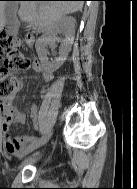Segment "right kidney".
<instances>
[{
  "mask_svg": "<svg viewBox=\"0 0 137 189\" xmlns=\"http://www.w3.org/2000/svg\"><path fill=\"white\" fill-rule=\"evenodd\" d=\"M58 33L65 34V39L61 43L60 56L55 60L49 61L48 59V45L54 47L56 41V35ZM74 19L71 17H63L59 19L48 31H46L36 41V51L41 61L42 67L48 72H54L59 69L65 60L67 59L68 53L71 50L74 41Z\"/></svg>",
  "mask_w": 137,
  "mask_h": 189,
  "instance_id": "right-kidney-1",
  "label": "right kidney"
}]
</instances>
